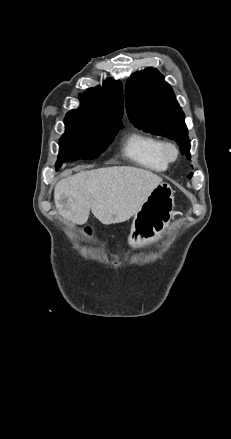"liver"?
<instances>
[{
  "label": "liver",
  "mask_w": 231,
  "mask_h": 439,
  "mask_svg": "<svg viewBox=\"0 0 231 439\" xmlns=\"http://www.w3.org/2000/svg\"><path fill=\"white\" fill-rule=\"evenodd\" d=\"M161 182L153 172L129 166L80 171L56 184L54 203L74 224H85L90 210L102 224H116L133 217Z\"/></svg>",
  "instance_id": "liver-1"
}]
</instances>
